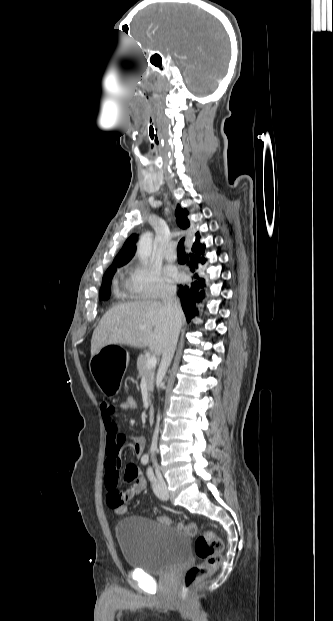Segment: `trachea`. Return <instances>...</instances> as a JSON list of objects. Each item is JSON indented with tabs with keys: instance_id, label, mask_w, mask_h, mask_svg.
Segmentation results:
<instances>
[{
	"instance_id": "trachea-1",
	"label": "trachea",
	"mask_w": 333,
	"mask_h": 621,
	"mask_svg": "<svg viewBox=\"0 0 333 621\" xmlns=\"http://www.w3.org/2000/svg\"><path fill=\"white\" fill-rule=\"evenodd\" d=\"M177 253L180 255H185V248H184V240L181 239L178 243V247H177Z\"/></svg>"
}]
</instances>
